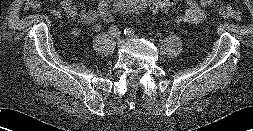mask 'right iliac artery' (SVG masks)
<instances>
[{"label":"right iliac artery","instance_id":"1","mask_svg":"<svg viewBox=\"0 0 253 131\" xmlns=\"http://www.w3.org/2000/svg\"><path fill=\"white\" fill-rule=\"evenodd\" d=\"M109 33L115 37H120L121 32L116 26H112L109 28Z\"/></svg>","mask_w":253,"mask_h":131}]
</instances>
